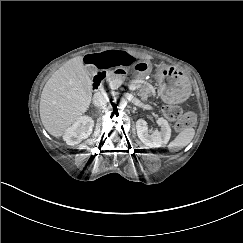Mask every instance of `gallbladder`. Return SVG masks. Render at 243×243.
Here are the masks:
<instances>
[{
  "mask_svg": "<svg viewBox=\"0 0 243 243\" xmlns=\"http://www.w3.org/2000/svg\"><path fill=\"white\" fill-rule=\"evenodd\" d=\"M84 69H85L86 73L89 75L95 73L97 70L96 67L91 64L86 65Z\"/></svg>",
  "mask_w": 243,
  "mask_h": 243,
  "instance_id": "bac80fb5",
  "label": "gallbladder"
}]
</instances>
